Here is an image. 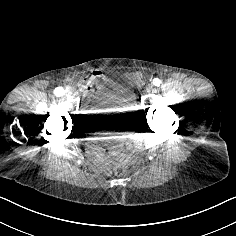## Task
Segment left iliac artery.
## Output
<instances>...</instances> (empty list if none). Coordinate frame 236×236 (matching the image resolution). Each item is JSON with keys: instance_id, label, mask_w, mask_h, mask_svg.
<instances>
[{"instance_id": "44dca946", "label": "left iliac artery", "mask_w": 236, "mask_h": 236, "mask_svg": "<svg viewBox=\"0 0 236 236\" xmlns=\"http://www.w3.org/2000/svg\"><path fill=\"white\" fill-rule=\"evenodd\" d=\"M152 83H153L154 86H157V87H158V86H160V84H161V80L158 79V78H154Z\"/></svg>"}]
</instances>
